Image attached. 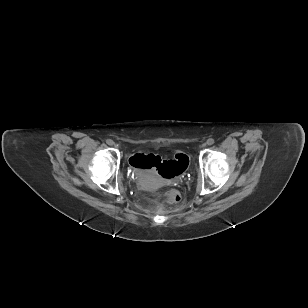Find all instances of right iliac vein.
I'll use <instances>...</instances> for the list:
<instances>
[{
  "label": "right iliac vein",
  "mask_w": 308,
  "mask_h": 308,
  "mask_svg": "<svg viewBox=\"0 0 308 308\" xmlns=\"http://www.w3.org/2000/svg\"><path fill=\"white\" fill-rule=\"evenodd\" d=\"M111 145H113V146H115V147H117V145L113 142Z\"/></svg>",
  "instance_id": "obj_1"
}]
</instances>
